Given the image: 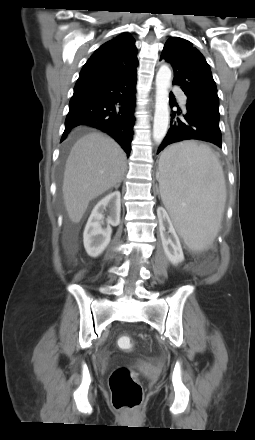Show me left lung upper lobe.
<instances>
[{"mask_svg":"<svg viewBox=\"0 0 255 440\" xmlns=\"http://www.w3.org/2000/svg\"><path fill=\"white\" fill-rule=\"evenodd\" d=\"M171 63L173 84L179 85L187 103L219 111V98L210 66L188 40L171 37L164 45L160 60Z\"/></svg>","mask_w":255,"mask_h":440,"instance_id":"left-lung-upper-lobe-1","label":"left lung upper lobe"}]
</instances>
